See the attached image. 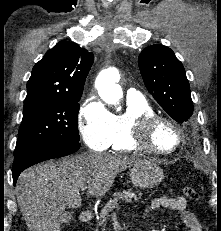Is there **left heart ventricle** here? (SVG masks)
Segmentation results:
<instances>
[{
	"instance_id": "1",
	"label": "left heart ventricle",
	"mask_w": 221,
	"mask_h": 231,
	"mask_svg": "<svg viewBox=\"0 0 221 231\" xmlns=\"http://www.w3.org/2000/svg\"><path fill=\"white\" fill-rule=\"evenodd\" d=\"M152 141L157 149L168 150L175 145L176 134L170 126L160 124L153 132Z\"/></svg>"
}]
</instances>
